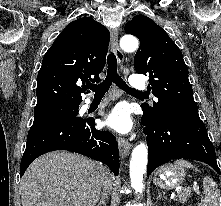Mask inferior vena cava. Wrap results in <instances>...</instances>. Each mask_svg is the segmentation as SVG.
<instances>
[{
	"mask_svg": "<svg viewBox=\"0 0 221 206\" xmlns=\"http://www.w3.org/2000/svg\"><path fill=\"white\" fill-rule=\"evenodd\" d=\"M103 193L107 194L112 190V177L109 173V171L107 170L105 177L103 179Z\"/></svg>",
	"mask_w": 221,
	"mask_h": 206,
	"instance_id": "obj_1",
	"label": "inferior vena cava"
}]
</instances>
